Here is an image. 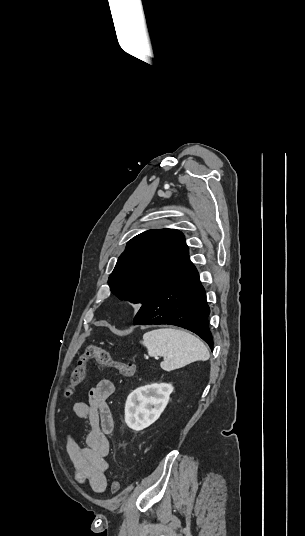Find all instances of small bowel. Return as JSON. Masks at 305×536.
Instances as JSON below:
<instances>
[{"instance_id":"1","label":"small bowel","mask_w":305,"mask_h":536,"mask_svg":"<svg viewBox=\"0 0 305 536\" xmlns=\"http://www.w3.org/2000/svg\"><path fill=\"white\" fill-rule=\"evenodd\" d=\"M114 384L103 379L88 394V401L74 404V412L78 418L87 419L90 431L86 437V445L78 444L73 434H69L66 449L71 458L75 476L79 482H87L91 488L102 493L107 486L106 471L110 444L108 435L113 428V421L108 398L114 393Z\"/></svg>"}]
</instances>
